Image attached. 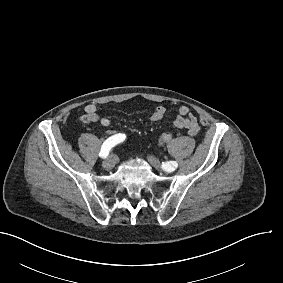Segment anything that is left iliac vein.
<instances>
[{"label":"left iliac vein","mask_w":283,"mask_h":283,"mask_svg":"<svg viewBox=\"0 0 283 283\" xmlns=\"http://www.w3.org/2000/svg\"><path fill=\"white\" fill-rule=\"evenodd\" d=\"M148 161L157 169H159L160 166V162L158 161V159L154 156H148ZM166 171L171 172L173 171V167L172 166H167V167H163Z\"/></svg>","instance_id":"1"}]
</instances>
